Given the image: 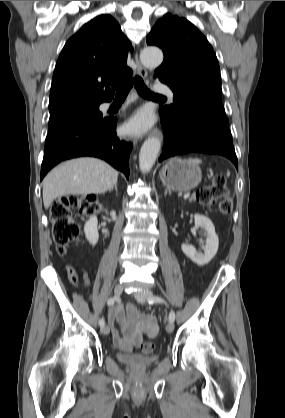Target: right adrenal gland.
Here are the masks:
<instances>
[{
    "instance_id": "right-adrenal-gland-1",
    "label": "right adrenal gland",
    "mask_w": 285,
    "mask_h": 418,
    "mask_svg": "<svg viewBox=\"0 0 285 418\" xmlns=\"http://www.w3.org/2000/svg\"><path fill=\"white\" fill-rule=\"evenodd\" d=\"M114 189H115L116 192H118L117 184L114 186ZM110 191H113V188Z\"/></svg>"
}]
</instances>
